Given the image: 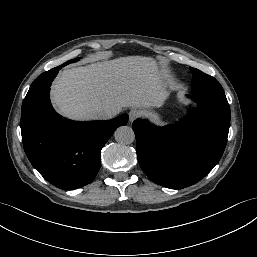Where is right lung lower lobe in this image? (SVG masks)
Returning a JSON list of instances; mask_svg holds the SVG:
<instances>
[{"label": "right lung lower lobe", "mask_w": 257, "mask_h": 257, "mask_svg": "<svg viewBox=\"0 0 257 257\" xmlns=\"http://www.w3.org/2000/svg\"><path fill=\"white\" fill-rule=\"evenodd\" d=\"M60 65L37 77L23 101L21 134L25 153L33 167L51 184L73 190L93 181L100 151L128 115L108 121H72L53 109L49 91Z\"/></svg>", "instance_id": "obj_1"}]
</instances>
